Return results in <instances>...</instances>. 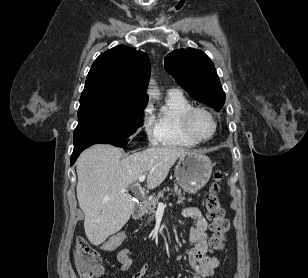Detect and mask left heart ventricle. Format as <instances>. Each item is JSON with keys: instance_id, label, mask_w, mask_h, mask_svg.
I'll list each match as a JSON object with an SVG mask.
<instances>
[{"instance_id": "1", "label": "left heart ventricle", "mask_w": 308, "mask_h": 278, "mask_svg": "<svg viewBox=\"0 0 308 278\" xmlns=\"http://www.w3.org/2000/svg\"><path fill=\"white\" fill-rule=\"evenodd\" d=\"M190 127L198 137H208L213 131V121L204 112H195L190 119Z\"/></svg>"}]
</instances>
